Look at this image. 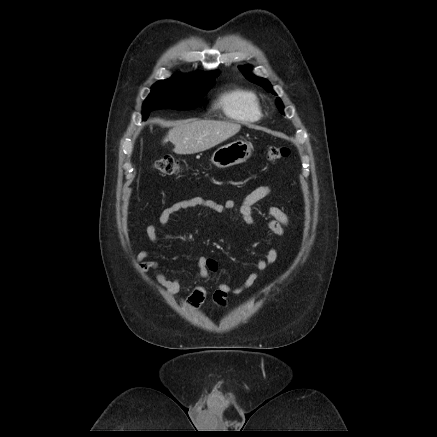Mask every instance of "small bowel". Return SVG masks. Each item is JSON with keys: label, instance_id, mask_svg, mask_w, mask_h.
<instances>
[{"label": "small bowel", "instance_id": "c3829d8e", "mask_svg": "<svg viewBox=\"0 0 437 437\" xmlns=\"http://www.w3.org/2000/svg\"><path fill=\"white\" fill-rule=\"evenodd\" d=\"M272 189L268 185H262L251 191L242 201L237 203L234 200H227L224 203H219L211 199L203 197H192L182 201H178L161 212L158 218V223L162 227L168 226L172 215L175 213L195 207L209 209L214 213L221 214L226 210L236 211L242 220L248 225H255L256 219L254 217V205L264 198L268 197ZM268 219L265 221V226L275 235L282 236L285 228L288 225V217L286 213L278 207H269ZM145 233L150 242L159 245V236L157 227L154 224H149ZM150 252L141 250L137 254V260L143 271H152L155 275L157 283L163 287L169 294L175 295L183 288L185 282L180 278L169 279L160 269L159 264L154 260H149ZM278 259V252L276 249H269L263 258L257 260L255 269L248 275L246 280L237 287H231L226 283H220L213 294L214 302L224 307L226 305L227 297L231 293L233 295H240L248 290L261 276V274ZM218 269L217 263L209 258L201 256L197 263V279L210 280V275L216 273ZM206 298V290L202 286H196L187 297V304L191 308L199 307Z\"/></svg>", "mask_w": 437, "mask_h": 437}]
</instances>
